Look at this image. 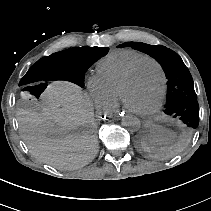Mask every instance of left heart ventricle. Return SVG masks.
I'll return each instance as SVG.
<instances>
[{
	"label": "left heart ventricle",
	"mask_w": 211,
	"mask_h": 211,
	"mask_svg": "<svg viewBox=\"0 0 211 211\" xmlns=\"http://www.w3.org/2000/svg\"><path fill=\"white\" fill-rule=\"evenodd\" d=\"M160 91V72L154 63L146 62L128 83L124 100L131 109L147 111L158 102Z\"/></svg>",
	"instance_id": "obj_1"
}]
</instances>
